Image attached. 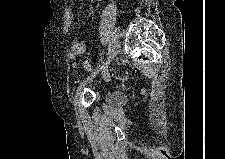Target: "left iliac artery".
Segmentation results:
<instances>
[{"instance_id":"1","label":"left iliac artery","mask_w":225,"mask_h":159,"mask_svg":"<svg viewBox=\"0 0 225 159\" xmlns=\"http://www.w3.org/2000/svg\"><path fill=\"white\" fill-rule=\"evenodd\" d=\"M112 44H113V43L111 42V43L108 45V46H109L108 52L110 51L111 47L113 46Z\"/></svg>"}]
</instances>
